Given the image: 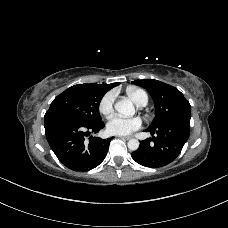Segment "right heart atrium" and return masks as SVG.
<instances>
[{
    "label": "right heart atrium",
    "mask_w": 228,
    "mask_h": 228,
    "mask_svg": "<svg viewBox=\"0 0 228 228\" xmlns=\"http://www.w3.org/2000/svg\"><path fill=\"white\" fill-rule=\"evenodd\" d=\"M115 99L116 94L114 91H109L104 94L99 102V111L105 116L111 115L114 109Z\"/></svg>",
    "instance_id": "right-heart-atrium-1"
}]
</instances>
